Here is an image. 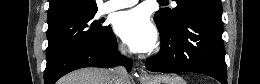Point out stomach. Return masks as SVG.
Returning a JSON list of instances; mask_svg holds the SVG:
<instances>
[{
  "label": "stomach",
  "instance_id": "stomach-1",
  "mask_svg": "<svg viewBox=\"0 0 260 84\" xmlns=\"http://www.w3.org/2000/svg\"><path fill=\"white\" fill-rule=\"evenodd\" d=\"M145 84H186V81L177 74H161L152 77Z\"/></svg>",
  "mask_w": 260,
  "mask_h": 84
}]
</instances>
